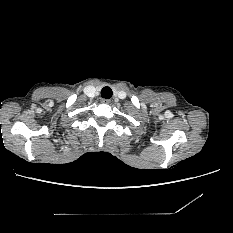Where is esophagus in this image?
I'll use <instances>...</instances> for the list:
<instances>
[{"mask_svg": "<svg viewBox=\"0 0 233 233\" xmlns=\"http://www.w3.org/2000/svg\"><path fill=\"white\" fill-rule=\"evenodd\" d=\"M111 102L110 99H101V103L103 104H109Z\"/></svg>", "mask_w": 233, "mask_h": 233, "instance_id": "34e87169", "label": "esophagus"}]
</instances>
